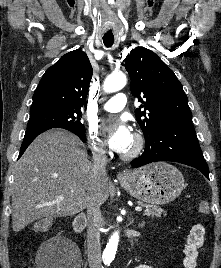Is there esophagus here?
Wrapping results in <instances>:
<instances>
[{
    "mask_svg": "<svg viewBox=\"0 0 221 268\" xmlns=\"http://www.w3.org/2000/svg\"><path fill=\"white\" fill-rule=\"evenodd\" d=\"M117 177H118L119 179H122V178L126 177V173H125V172H119V173L117 174Z\"/></svg>",
    "mask_w": 221,
    "mask_h": 268,
    "instance_id": "1",
    "label": "esophagus"
}]
</instances>
